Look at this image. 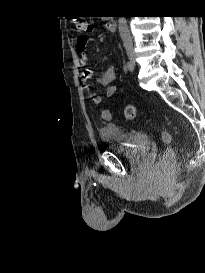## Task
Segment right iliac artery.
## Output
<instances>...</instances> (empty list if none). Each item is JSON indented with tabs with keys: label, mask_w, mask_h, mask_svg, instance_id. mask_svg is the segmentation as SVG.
I'll return each instance as SVG.
<instances>
[{
	"label": "right iliac artery",
	"mask_w": 205,
	"mask_h": 273,
	"mask_svg": "<svg viewBox=\"0 0 205 273\" xmlns=\"http://www.w3.org/2000/svg\"><path fill=\"white\" fill-rule=\"evenodd\" d=\"M126 68H127L128 71L132 72L133 69H134V66H133V64L131 62L128 61L127 64H126Z\"/></svg>",
	"instance_id": "82829eb1"
}]
</instances>
